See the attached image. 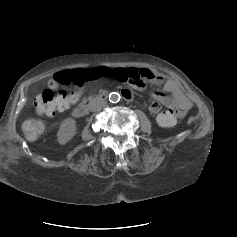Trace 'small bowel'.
<instances>
[{
	"instance_id": "small-bowel-1",
	"label": "small bowel",
	"mask_w": 237,
	"mask_h": 237,
	"mask_svg": "<svg viewBox=\"0 0 237 237\" xmlns=\"http://www.w3.org/2000/svg\"><path fill=\"white\" fill-rule=\"evenodd\" d=\"M142 69L145 72L146 81L155 85H162V92L152 95L153 100L149 106V111L152 114H158L163 107H167V112L175 119L184 117L191 107V101L182 93L177 83L172 79L166 80L164 75L159 72L151 71L146 68ZM164 93H169L171 96H166ZM82 95V87H79L71 93H67L65 109L76 104Z\"/></svg>"
}]
</instances>
